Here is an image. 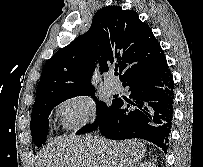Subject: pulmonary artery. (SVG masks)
I'll list each match as a JSON object with an SVG mask.
<instances>
[{
  "instance_id": "obj_1",
  "label": "pulmonary artery",
  "mask_w": 203,
  "mask_h": 167,
  "mask_svg": "<svg viewBox=\"0 0 203 167\" xmlns=\"http://www.w3.org/2000/svg\"><path fill=\"white\" fill-rule=\"evenodd\" d=\"M106 87L110 92H117L119 90V84L114 81L111 77L106 81Z\"/></svg>"
}]
</instances>
